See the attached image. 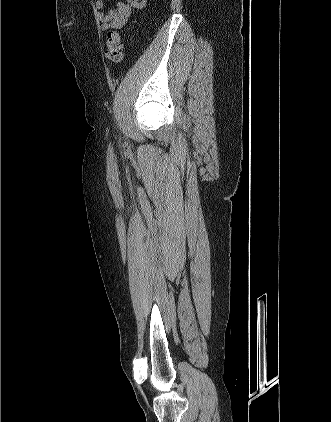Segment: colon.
Here are the masks:
<instances>
[{"label":"colon","instance_id":"5ec220e1","mask_svg":"<svg viewBox=\"0 0 331 422\" xmlns=\"http://www.w3.org/2000/svg\"><path fill=\"white\" fill-rule=\"evenodd\" d=\"M106 55L109 60L118 63L122 59L123 41L121 35L116 31H109L106 40Z\"/></svg>","mask_w":331,"mask_h":422}]
</instances>
